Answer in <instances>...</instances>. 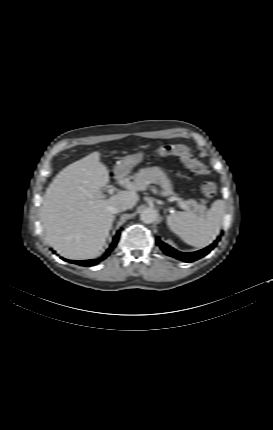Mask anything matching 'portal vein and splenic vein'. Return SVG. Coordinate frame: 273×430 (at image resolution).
Segmentation results:
<instances>
[{
	"label": "portal vein and splenic vein",
	"mask_w": 273,
	"mask_h": 430,
	"mask_svg": "<svg viewBox=\"0 0 273 430\" xmlns=\"http://www.w3.org/2000/svg\"><path fill=\"white\" fill-rule=\"evenodd\" d=\"M152 191H153L154 193H156V194L158 193V192H157V190H156L155 188H153V189H152ZM108 193H109V194H112V193H113V189H109V190H108ZM104 197H105V195H101V196H100V198H104ZM178 205H179L182 209H187V208H188V206H187L184 202H179V203H178Z\"/></svg>",
	"instance_id": "18ae733b"
}]
</instances>
